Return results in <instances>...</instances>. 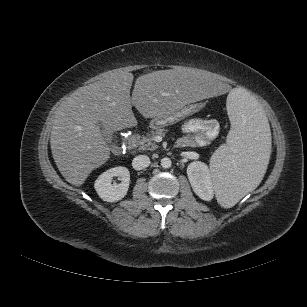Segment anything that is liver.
I'll return each mask as SVG.
<instances>
[{"label": "liver", "mask_w": 307, "mask_h": 307, "mask_svg": "<svg viewBox=\"0 0 307 307\" xmlns=\"http://www.w3.org/2000/svg\"><path fill=\"white\" fill-rule=\"evenodd\" d=\"M133 78L122 70L107 72L78 88L56 111L50 145L59 171L70 184L81 186L110 158L99 121L113 133L136 125L132 106L145 118H153L230 91L226 82L211 79L203 70L178 67L138 77L130 97Z\"/></svg>", "instance_id": "1"}]
</instances>
